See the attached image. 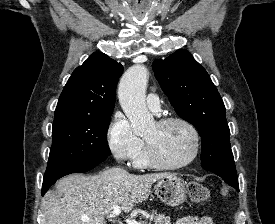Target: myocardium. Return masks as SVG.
Wrapping results in <instances>:
<instances>
[{
  "label": "myocardium",
  "mask_w": 275,
  "mask_h": 224,
  "mask_svg": "<svg viewBox=\"0 0 275 224\" xmlns=\"http://www.w3.org/2000/svg\"><path fill=\"white\" fill-rule=\"evenodd\" d=\"M173 122H178L186 126L193 137V152L189 159L179 164H169L164 162L156 153L153 146L144 139L145 153L149 164L153 167L166 169V170H178L191 165L198 157L200 152V135L197 128L192 122L181 116H164L157 120L159 126H165Z\"/></svg>",
  "instance_id": "1"
}]
</instances>
